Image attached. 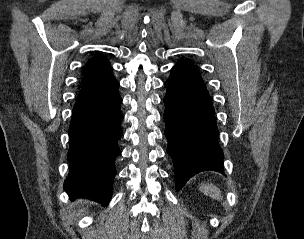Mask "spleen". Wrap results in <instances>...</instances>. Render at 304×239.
I'll list each match as a JSON object with an SVG mask.
<instances>
[{
	"mask_svg": "<svg viewBox=\"0 0 304 239\" xmlns=\"http://www.w3.org/2000/svg\"><path fill=\"white\" fill-rule=\"evenodd\" d=\"M200 189L208 194L210 197L216 199V200H222L221 191L219 188L214 186L213 184H201Z\"/></svg>",
	"mask_w": 304,
	"mask_h": 239,
	"instance_id": "3e777b00",
	"label": "spleen"
}]
</instances>
